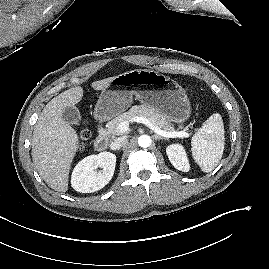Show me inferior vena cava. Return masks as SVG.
I'll use <instances>...</instances> for the list:
<instances>
[{
  "mask_svg": "<svg viewBox=\"0 0 269 269\" xmlns=\"http://www.w3.org/2000/svg\"><path fill=\"white\" fill-rule=\"evenodd\" d=\"M124 141H125V138L123 137L116 138L110 143V148L112 150H118L123 146Z\"/></svg>",
  "mask_w": 269,
  "mask_h": 269,
  "instance_id": "1",
  "label": "inferior vena cava"
}]
</instances>
